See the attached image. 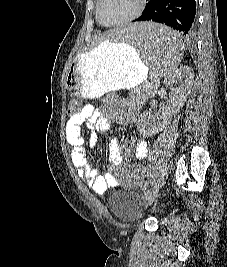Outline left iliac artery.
<instances>
[{
  "label": "left iliac artery",
  "mask_w": 227,
  "mask_h": 267,
  "mask_svg": "<svg viewBox=\"0 0 227 267\" xmlns=\"http://www.w3.org/2000/svg\"><path fill=\"white\" fill-rule=\"evenodd\" d=\"M146 188H147V183L144 184V186H143V190L145 191Z\"/></svg>",
  "instance_id": "obj_1"
}]
</instances>
